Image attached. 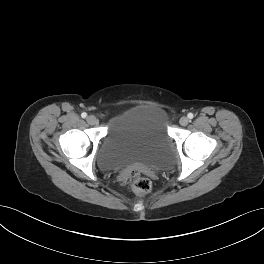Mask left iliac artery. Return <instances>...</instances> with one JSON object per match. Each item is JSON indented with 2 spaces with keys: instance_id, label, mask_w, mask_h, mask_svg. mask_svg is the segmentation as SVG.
<instances>
[{
  "instance_id": "left-iliac-artery-1",
  "label": "left iliac artery",
  "mask_w": 264,
  "mask_h": 264,
  "mask_svg": "<svg viewBox=\"0 0 264 264\" xmlns=\"http://www.w3.org/2000/svg\"><path fill=\"white\" fill-rule=\"evenodd\" d=\"M187 116L189 119H192L194 117V115L192 113H189Z\"/></svg>"
}]
</instances>
